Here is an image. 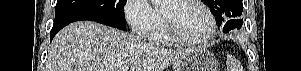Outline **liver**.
<instances>
[{"mask_svg":"<svg viewBox=\"0 0 301 71\" xmlns=\"http://www.w3.org/2000/svg\"><path fill=\"white\" fill-rule=\"evenodd\" d=\"M187 51L159 48L138 36L90 21L74 22L53 39L45 71H164Z\"/></svg>","mask_w":301,"mask_h":71,"instance_id":"liver-1","label":"liver"}]
</instances>
